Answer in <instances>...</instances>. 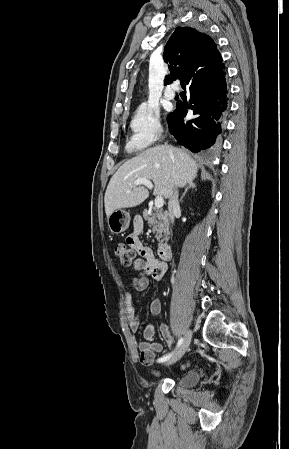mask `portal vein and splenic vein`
Wrapping results in <instances>:
<instances>
[{
  "mask_svg": "<svg viewBox=\"0 0 289 449\" xmlns=\"http://www.w3.org/2000/svg\"><path fill=\"white\" fill-rule=\"evenodd\" d=\"M137 185H145L147 188L152 189L153 188V184L150 180L146 179V178H138L133 182V186H137ZM164 205V199L162 196H156L155 198V207L157 209L162 208Z\"/></svg>",
  "mask_w": 289,
  "mask_h": 449,
  "instance_id": "obj_1",
  "label": "portal vein and splenic vein"
}]
</instances>
